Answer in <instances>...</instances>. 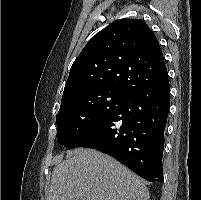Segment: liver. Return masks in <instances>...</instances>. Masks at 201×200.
<instances>
[{"label": "liver", "mask_w": 201, "mask_h": 200, "mask_svg": "<svg viewBox=\"0 0 201 200\" xmlns=\"http://www.w3.org/2000/svg\"><path fill=\"white\" fill-rule=\"evenodd\" d=\"M144 182L112 157L75 149L52 173L47 200H148Z\"/></svg>", "instance_id": "1"}]
</instances>
